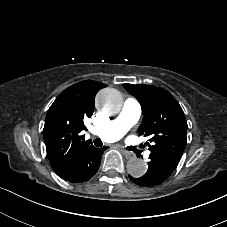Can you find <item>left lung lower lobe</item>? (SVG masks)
<instances>
[{
  "instance_id": "left-lung-lower-lobe-1",
  "label": "left lung lower lobe",
  "mask_w": 227,
  "mask_h": 227,
  "mask_svg": "<svg viewBox=\"0 0 227 227\" xmlns=\"http://www.w3.org/2000/svg\"><path fill=\"white\" fill-rule=\"evenodd\" d=\"M149 158V168L145 175L140 178H133L129 175V178L139 186L150 187L161 184L177 167L176 164L163 157L150 154Z\"/></svg>"
}]
</instances>
